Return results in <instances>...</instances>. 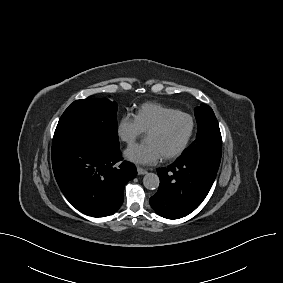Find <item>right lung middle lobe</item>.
Returning a JSON list of instances; mask_svg holds the SVG:
<instances>
[{"label":"right lung middle lobe","instance_id":"1","mask_svg":"<svg viewBox=\"0 0 283 283\" xmlns=\"http://www.w3.org/2000/svg\"><path fill=\"white\" fill-rule=\"evenodd\" d=\"M75 133L96 138L109 145H119L117 103L108 99L76 100L61 116L54 136Z\"/></svg>","mask_w":283,"mask_h":283}]
</instances>
